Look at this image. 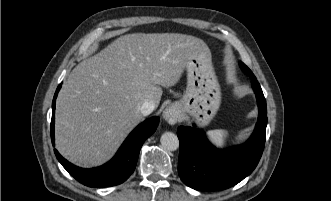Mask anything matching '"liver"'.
I'll return each instance as SVG.
<instances>
[{
  "label": "liver",
  "mask_w": 331,
  "mask_h": 201,
  "mask_svg": "<svg viewBox=\"0 0 331 201\" xmlns=\"http://www.w3.org/2000/svg\"><path fill=\"white\" fill-rule=\"evenodd\" d=\"M207 49L190 35L135 33L80 62L56 101L55 139L61 155L82 167L107 161L142 121L143 102L157 107L161 86L175 85L187 62Z\"/></svg>",
  "instance_id": "obj_1"
}]
</instances>
